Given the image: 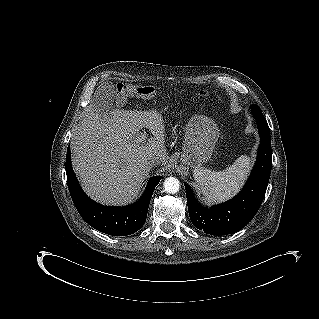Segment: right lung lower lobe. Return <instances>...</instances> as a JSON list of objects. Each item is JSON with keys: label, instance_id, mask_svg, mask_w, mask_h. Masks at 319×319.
<instances>
[{"label": "right lung lower lobe", "instance_id": "obj_1", "mask_svg": "<svg viewBox=\"0 0 319 319\" xmlns=\"http://www.w3.org/2000/svg\"><path fill=\"white\" fill-rule=\"evenodd\" d=\"M67 183L72 200L81 217L93 228L108 235L126 236L138 231L146 221L149 203L161 176L151 177L140 200L126 207L101 205L90 199L74 175L70 147L66 156Z\"/></svg>", "mask_w": 319, "mask_h": 319}]
</instances>
